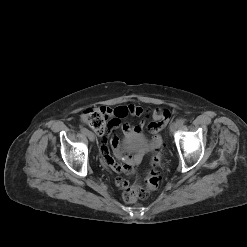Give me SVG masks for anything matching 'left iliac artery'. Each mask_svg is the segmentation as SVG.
Returning a JSON list of instances; mask_svg holds the SVG:
<instances>
[{"label": "left iliac artery", "instance_id": "44dca946", "mask_svg": "<svg viewBox=\"0 0 247 247\" xmlns=\"http://www.w3.org/2000/svg\"><path fill=\"white\" fill-rule=\"evenodd\" d=\"M177 122L179 123L180 126H182L185 121H184V119H179Z\"/></svg>", "mask_w": 247, "mask_h": 247}]
</instances>
